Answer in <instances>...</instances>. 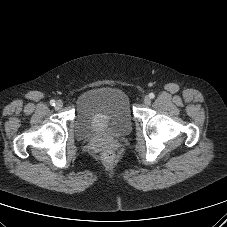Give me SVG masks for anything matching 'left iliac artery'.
Instances as JSON below:
<instances>
[{
	"label": "left iliac artery",
	"mask_w": 227,
	"mask_h": 227,
	"mask_svg": "<svg viewBox=\"0 0 227 227\" xmlns=\"http://www.w3.org/2000/svg\"><path fill=\"white\" fill-rule=\"evenodd\" d=\"M149 97H150L151 99H153V98L155 97L154 93H150V94H149Z\"/></svg>",
	"instance_id": "1"
}]
</instances>
